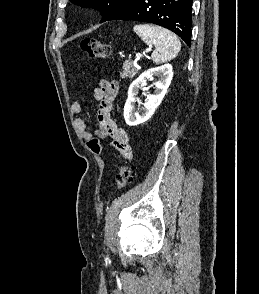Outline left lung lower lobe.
Listing matches in <instances>:
<instances>
[{
  "label": "left lung lower lobe",
  "mask_w": 259,
  "mask_h": 294,
  "mask_svg": "<svg viewBox=\"0 0 259 294\" xmlns=\"http://www.w3.org/2000/svg\"><path fill=\"white\" fill-rule=\"evenodd\" d=\"M193 0H131L105 21L133 20L163 26L191 45ZM104 21V22H105Z\"/></svg>",
  "instance_id": "obj_1"
}]
</instances>
